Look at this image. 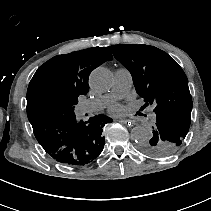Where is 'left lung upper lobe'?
I'll return each mask as SVG.
<instances>
[{
    "label": "left lung upper lobe",
    "mask_w": 211,
    "mask_h": 211,
    "mask_svg": "<svg viewBox=\"0 0 211 211\" xmlns=\"http://www.w3.org/2000/svg\"><path fill=\"white\" fill-rule=\"evenodd\" d=\"M108 50L130 71L145 102L141 110L154 107L153 137L141 145V150L151 156L176 152L191 123L192 98L184 71L172 57L153 46L118 44Z\"/></svg>",
    "instance_id": "obj_1"
}]
</instances>
